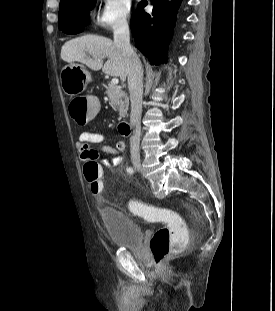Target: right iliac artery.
Returning <instances> with one entry per match:
<instances>
[{"label":"right iliac artery","instance_id":"obj_1","mask_svg":"<svg viewBox=\"0 0 275 311\" xmlns=\"http://www.w3.org/2000/svg\"><path fill=\"white\" fill-rule=\"evenodd\" d=\"M127 172L129 174H132L134 172V169L132 167L127 168Z\"/></svg>","mask_w":275,"mask_h":311}]
</instances>
